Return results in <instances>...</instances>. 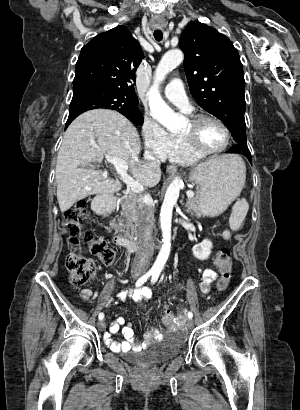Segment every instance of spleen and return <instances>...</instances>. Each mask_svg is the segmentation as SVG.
I'll return each mask as SVG.
<instances>
[{"instance_id": "1", "label": "spleen", "mask_w": 300, "mask_h": 410, "mask_svg": "<svg viewBox=\"0 0 300 410\" xmlns=\"http://www.w3.org/2000/svg\"><path fill=\"white\" fill-rule=\"evenodd\" d=\"M243 175H244V179L246 178V168H245V164H243V166L241 167ZM249 209V204L246 201L245 198H242L240 200H238L233 208H232V213L230 215L229 218V225L231 230L236 231L240 228L242 222L244 221L247 212Z\"/></svg>"}]
</instances>
